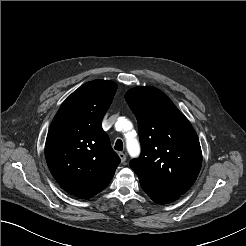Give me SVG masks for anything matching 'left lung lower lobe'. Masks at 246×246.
Returning <instances> with one entry per match:
<instances>
[{
    "mask_svg": "<svg viewBox=\"0 0 246 246\" xmlns=\"http://www.w3.org/2000/svg\"><path fill=\"white\" fill-rule=\"evenodd\" d=\"M141 187L147 195L158 204H167L177 200L181 195L164 190L148 182L140 181Z\"/></svg>",
    "mask_w": 246,
    "mask_h": 246,
    "instance_id": "1",
    "label": "left lung lower lobe"
}]
</instances>
